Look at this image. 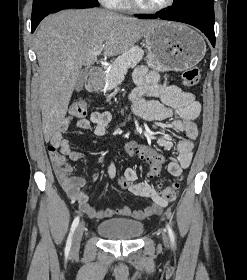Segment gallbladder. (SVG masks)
Returning <instances> with one entry per match:
<instances>
[{
	"label": "gallbladder",
	"mask_w": 247,
	"mask_h": 280,
	"mask_svg": "<svg viewBox=\"0 0 247 280\" xmlns=\"http://www.w3.org/2000/svg\"><path fill=\"white\" fill-rule=\"evenodd\" d=\"M86 74H87L86 69L81 70L79 79H78L77 84L75 86L76 91H81L83 89Z\"/></svg>",
	"instance_id": "bac80fb5"
}]
</instances>
